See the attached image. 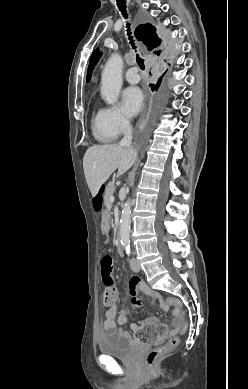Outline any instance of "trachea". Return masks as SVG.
Listing matches in <instances>:
<instances>
[{
  "instance_id": "1",
  "label": "trachea",
  "mask_w": 248,
  "mask_h": 389,
  "mask_svg": "<svg viewBox=\"0 0 248 389\" xmlns=\"http://www.w3.org/2000/svg\"><path fill=\"white\" fill-rule=\"evenodd\" d=\"M117 6H118L119 10L122 12L123 16L127 17L126 1L125 0H117ZM127 27H129V24H127ZM130 34H131V32L128 30V35H129L130 43L132 44L133 48L135 49L136 47L134 46V41L132 40V37L130 36ZM136 60H137V64L140 67V69L144 70L145 69L144 59L139 57V55L137 54Z\"/></svg>"
}]
</instances>
